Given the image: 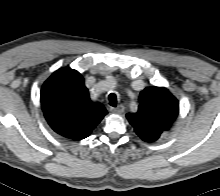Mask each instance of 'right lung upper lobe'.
I'll use <instances>...</instances> for the list:
<instances>
[{"mask_svg": "<svg viewBox=\"0 0 220 196\" xmlns=\"http://www.w3.org/2000/svg\"><path fill=\"white\" fill-rule=\"evenodd\" d=\"M40 99L51 128L72 140L88 137L107 114L102 104L90 100L81 74L68 67L49 77L42 86Z\"/></svg>", "mask_w": 220, "mask_h": 196, "instance_id": "1", "label": "right lung upper lobe"}]
</instances>
